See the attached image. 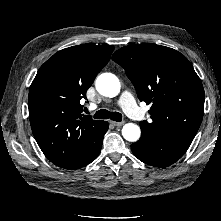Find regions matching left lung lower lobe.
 <instances>
[{
    "label": "left lung lower lobe",
    "mask_w": 221,
    "mask_h": 221,
    "mask_svg": "<svg viewBox=\"0 0 221 221\" xmlns=\"http://www.w3.org/2000/svg\"><path fill=\"white\" fill-rule=\"evenodd\" d=\"M189 146L190 143L172 136L141 129V138L131 145V150L148 165L167 167L179 160Z\"/></svg>",
    "instance_id": "left-lung-lower-lobe-1"
}]
</instances>
